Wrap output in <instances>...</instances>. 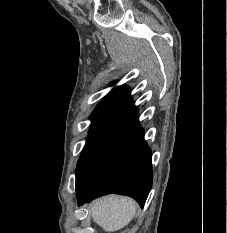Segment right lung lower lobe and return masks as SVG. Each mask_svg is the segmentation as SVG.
<instances>
[{
    "label": "right lung lower lobe",
    "mask_w": 227,
    "mask_h": 233,
    "mask_svg": "<svg viewBox=\"0 0 227 233\" xmlns=\"http://www.w3.org/2000/svg\"><path fill=\"white\" fill-rule=\"evenodd\" d=\"M152 179L151 150L143 128L137 127L117 139L76 186L78 205L116 193L134 198L143 207Z\"/></svg>",
    "instance_id": "98d812e1"
}]
</instances>
